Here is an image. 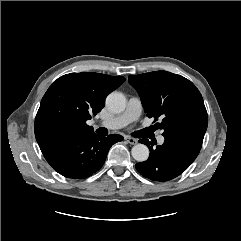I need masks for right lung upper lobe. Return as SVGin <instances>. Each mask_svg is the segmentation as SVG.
<instances>
[{
    "instance_id": "obj_1",
    "label": "right lung upper lobe",
    "mask_w": 241,
    "mask_h": 241,
    "mask_svg": "<svg viewBox=\"0 0 241 241\" xmlns=\"http://www.w3.org/2000/svg\"><path fill=\"white\" fill-rule=\"evenodd\" d=\"M124 81L122 76L94 72L66 74L54 81L35 118L39 146L67 136L94 133L86 121L101 111L108 94Z\"/></svg>"
}]
</instances>
